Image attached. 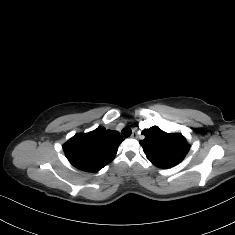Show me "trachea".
I'll return each mask as SVG.
<instances>
[{"instance_id": "3493384b", "label": "trachea", "mask_w": 235, "mask_h": 235, "mask_svg": "<svg viewBox=\"0 0 235 235\" xmlns=\"http://www.w3.org/2000/svg\"><path fill=\"white\" fill-rule=\"evenodd\" d=\"M132 133V130L128 127L124 128L122 131H121V135L123 138H127L131 135Z\"/></svg>"}]
</instances>
